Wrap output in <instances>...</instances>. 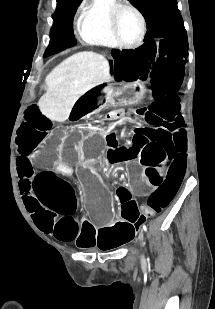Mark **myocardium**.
<instances>
[{"label":"myocardium","mask_w":215,"mask_h":309,"mask_svg":"<svg viewBox=\"0 0 215 309\" xmlns=\"http://www.w3.org/2000/svg\"><path fill=\"white\" fill-rule=\"evenodd\" d=\"M119 11L130 12L131 14L134 15L136 22H137V35L132 42L127 43V44L120 43L122 40L118 37L119 34H120L119 31H118L120 22L118 20L119 16L116 15V13L119 12ZM107 13L109 14L110 17H112V22H111L112 29H111V31L114 34L113 37L116 38V43L113 44L115 47H117V48H137L138 46L141 45V43L144 39V36H145V22H144V19H143L141 13L137 9H135L132 6H128V5L127 6H117L113 9H108Z\"/></svg>","instance_id":"f54148a6"}]
</instances>
